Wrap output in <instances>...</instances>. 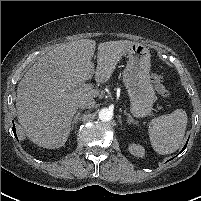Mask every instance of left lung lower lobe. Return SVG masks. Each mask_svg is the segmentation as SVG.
<instances>
[{
    "mask_svg": "<svg viewBox=\"0 0 201 201\" xmlns=\"http://www.w3.org/2000/svg\"><path fill=\"white\" fill-rule=\"evenodd\" d=\"M187 143H188V141H187ZM187 143L185 144V146H184V148L182 149V151H183V150H184V149L186 148V146H187ZM182 151H181V152H182ZM170 160H171V159H170Z\"/></svg>",
    "mask_w": 201,
    "mask_h": 201,
    "instance_id": "1",
    "label": "left lung lower lobe"
}]
</instances>
